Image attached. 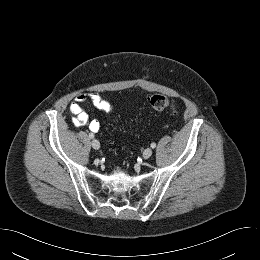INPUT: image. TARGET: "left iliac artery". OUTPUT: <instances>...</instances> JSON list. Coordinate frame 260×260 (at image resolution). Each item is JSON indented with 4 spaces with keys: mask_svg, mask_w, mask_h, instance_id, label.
Masks as SVG:
<instances>
[{
    "mask_svg": "<svg viewBox=\"0 0 260 260\" xmlns=\"http://www.w3.org/2000/svg\"><path fill=\"white\" fill-rule=\"evenodd\" d=\"M151 147H152V148H155V147H156V143H152V144H151Z\"/></svg>",
    "mask_w": 260,
    "mask_h": 260,
    "instance_id": "1",
    "label": "left iliac artery"
}]
</instances>
